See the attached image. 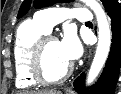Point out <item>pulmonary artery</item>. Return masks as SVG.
I'll return each instance as SVG.
<instances>
[{"label": "pulmonary artery", "instance_id": "obj_1", "mask_svg": "<svg viewBox=\"0 0 121 94\" xmlns=\"http://www.w3.org/2000/svg\"><path fill=\"white\" fill-rule=\"evenodd\" d=\"M66 19L91 22L93 17L86 8H49L35 14V20L48 32L52 30L53 26Z\"/></svg>", "mask_w": 121, "mask_h": 94}]
</instances>
